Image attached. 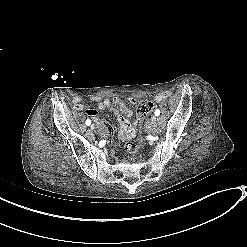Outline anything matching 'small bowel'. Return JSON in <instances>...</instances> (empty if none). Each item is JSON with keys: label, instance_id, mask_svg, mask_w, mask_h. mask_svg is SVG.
<instances>
[{"label": "small bowel", "instance_id": "obj_1", "mask_svg": "<svg viewBox=\"0 0 247 247\" xmlns=\"http://www.w3.org/2000/svg\"><path fill=\"white\" fill-rule=\"evenodd\" d=\"M169 96L168 93H159L155 96L154 100L156 102H162ZM91 101L97 102V107L99 110H111L114 111L117 122L120 126V132L118 131L117 127L112 123H109L107 120L102 122V125L105 128L111 130L112 134L110 138L115 140L117 137L121 140H129L135 137L137 126L139 124V120H135L131 123L128 120V117L132 115V110L124 103V101L120 97L114 98H102L99 96H91ZM130 103H135L136 100L134 98H129ZM73 107L75 110L82 111L86 109V104L83 102L82 98L75 97L73 99ZM90 109L86 110V114L90 117L95 119L97 114H93ZM119 134V135H118Z\"/></svg>", "mask_w": 247, "mask_h": 247}]
</instances>
